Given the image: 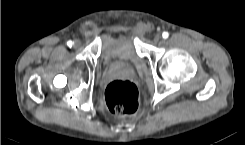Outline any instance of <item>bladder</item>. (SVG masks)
Instances as JSON below:
<instances>
[{
  "label": "bladder",
  "instance_id": "obj_1",
  "mask_svg": "<svg viewBox=\"0 0 245 145\" xmlns=\"http://www.w3.org/2000/svg\"><path fill=\"white\" fill-rule=\"evenodd\" d=\"M101 59L109 66L123 64L135 67L141 56L132 36L121 33L107 36Z\"/></svg>",
  "mask_w": 245,
  "mask_h": 145
}]
</instances>
